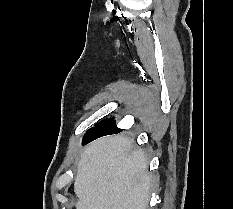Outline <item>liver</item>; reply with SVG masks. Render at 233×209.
Returning a JSON list of instances; mask_svg holds the SVG:
<instances>
[{
	"instance_id": "liver-1",
	"label": "liver",
	"mask_w": 233,
	"mask_h": 209,
	"mask_svg": "<svg viewBox=\"0 0 233 209\" xmlns=\"http://www.w3.org/2000/svg\"><path fill=\"white\" fill-rule=\"evenodd\" d=\"M144 152L122 135L90 143L77 163L76 209H147L151 176Z\"/></svg>"
}]
</instances>
